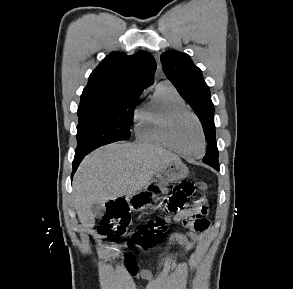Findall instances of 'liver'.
I'll return each mask as SVG.
<instances>
[{
  "label": "liver",
  "instance_id": "liver-1",
  "mask_svg": "<svg viewBox=\"0 0 293 289\" xmlns=\"http://www.w3.org/2000/svg\"><path fill=\"white\" fill-rule=\"evenodd\" d=\"M172 161L181 160L172 152L150 144L113 143L91 152L73 180L79 221L84 226H93L91 207L94 203L138 193Z\"/></svg>",
  "mask_w": 293,
  "mask_h": 289
}]
</instances>
